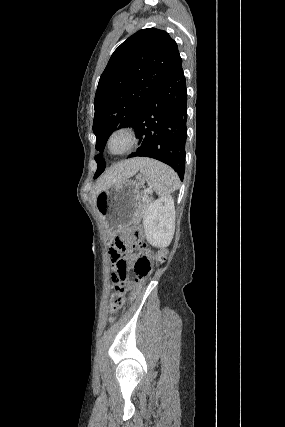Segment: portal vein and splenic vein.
Segmentation results:
<instances>
[{"label": "portal vein and splenic vein", "mask_w": 285, "mask_h": 427, "mask_svg": "<svg viewBox=\"0 0 285 427\" xmlns=\"http://www.w3.org/2000/svg\"><path fill=\"white\" fill-rule=\"evenodd\" d=\"M151 192L152 191H149V190L144 191L142 198L146 199L147 198V193H151Z\"/></svg>", "instance_id": "obj_1"}]
</instances>
